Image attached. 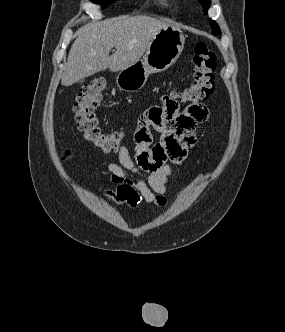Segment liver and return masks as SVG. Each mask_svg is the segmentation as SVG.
<instances>
[{
	"mask_svg": "<svg viewBox=\"0 0 285 332\" xmlns=\"http://www.w3.org/2000/svg\"><path fill=\"white\" fill-rule=\"evenodd\" d=\"M172 24L149 16H120L81 28L61 78L63 86L109 69L124 70L140 60L154 37ZM116 52L109 56L111 49Z\"/></svg>",
	"mask_w": 285,
	"mask_h": 332,
	"instance_id": "obj_1",
	"label": "liver"
}]
</instances>
